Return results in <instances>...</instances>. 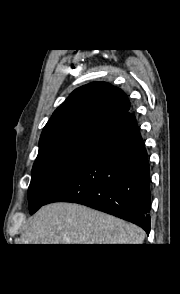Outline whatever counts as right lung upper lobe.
<instances>
[{"mask_svg":"<svg viewBox=\"0 0 180 294\" xmlns=\"http://www.w3.org/2000/svg\"><path fill=\"white\" fill-rule=\"evenodd\" d=\"M130 102L119 88L93 82L74 90L45 125L39 151L76 139L100 142L131 116Z\"/></svg>","mask_w":180,"mask_h":294,"instance_id":"obj_1","label":"right lung upper lobe"}]
</instances>
